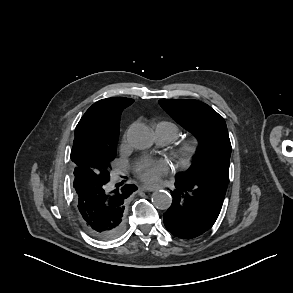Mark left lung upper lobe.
<instances>
[{"mask_svg": "<svg viewBox=\"0 0 293 293\" xmlns=\"http://www.w3.org/2000/svg\"><path fill=\"white\" fill-rule=\"evenodd\" d=\"M159 103L199 141L198 154L191 167L175 177L227 189L231 143L223 117L197 100L161 99Z\"/></svg>", "mask_w": 293, "mask_h": 293, "instance_id": "obj_1", "label": "left lung upper lobe"}]
</instances>
